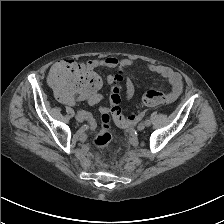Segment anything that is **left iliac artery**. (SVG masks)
Here are the masks:
<instances>
[{"instance_id":"1","label":"left iliac artery","mask_w":224,"mask_h":224,"mask_svg":"<svg viewBox=\"0 0 224 224\" xmlns=\"http://www.w3.org/2000/svg\"><path fill=\"white\" fill-rule=\"evenodd\" d=\"M150 124H151L150 120H145V125L146 126H150Z\"/></svg>"}]
</instances>
